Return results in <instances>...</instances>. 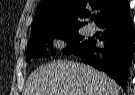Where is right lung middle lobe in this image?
Here are the masks:
<instances>
[{"label":"right lung middle lobe","instance_id":"right-lung-middle-lobe-1","mask_svg":"<svg viewBox=\"0 0 135 95\" xmlns=\"http://www.w3.org/2000/svg\"><path fill=\"white\" fill-rule=\"evenodd\" d=\"M52 38L63 39L68 43L65 49L66 54L74 53L81 49L88 40L82 41L83 37L79 35L78 30L75 31H43L32 33L27 48V61L33 57H47L45 52V44Z\"/></svg>","mask_w":135,"mask_h":95}]
</instances>
